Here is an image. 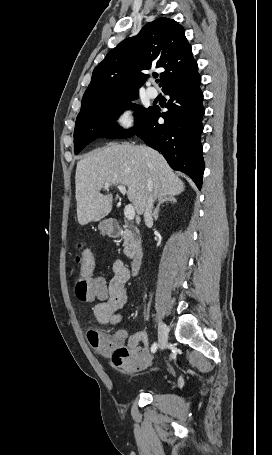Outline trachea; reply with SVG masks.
Here are the masks:
<instances>
[{
  "instance_id": "obj_1",
  "label": "trachea",
  "mask_w": 272,
  "mask_h": 455,
  "mask_svg": "<svg viewBox=\"0 0 272 455\" xmlns=\"http://www.w3.org/2000/svg\"><path fill=\"white\" fill-rule=\"evenodd\" d=\"M156 82L158 83V82H159V79H156Z\"/></svg>"
}]
</instances>
